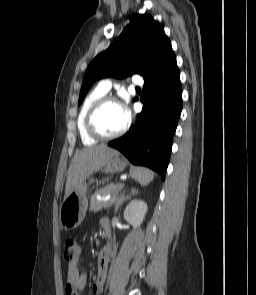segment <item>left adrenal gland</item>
I'll return each instance as SVG.
<instances>
[{
	"mask_svg": "<svg viewBox=\"0 0 256 295\" xmlns=\"http://www.w3.org/2000/svg\"><path fill=\"white\" fill-rule=\"evenodd\" d=\"M125 194H126V190L124 189V190H122L121 194L116 199V201H115V211H114L115 213H117L118 209L122 206L124 201L130 199L131 196L137 195L138 190L132 188L131 191H130V194H128V195H125Z\"/></svg>",
	"mask_w": 256,
	"mask_h": 295,
	"instance_id": "a2214340",
	"label": "left adrenal gland"
}]
</instances>
